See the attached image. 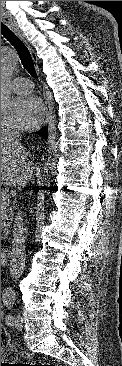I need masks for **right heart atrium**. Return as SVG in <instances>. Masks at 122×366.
I'll return each instance as SVG.
<instances>
[{
	"instance_id": "d8ad5b80",
	"label": "right heart atrium",
	"mask_w": 122,
	"mask_h": 366,
	"mask_svg": "<svg viewBox=\"0 0 122 366\" xmlns=\"http://www.w3.org/2000/svg\"><path fill=\"white\" fill-rule=\"evenodd\" d=\"M10 129V125L1 120V135Z\"/></svg>"
}]
</instances>
